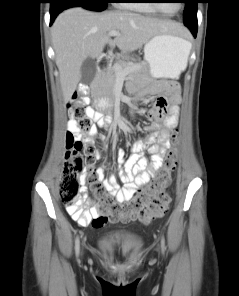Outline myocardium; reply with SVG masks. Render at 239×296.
<instances>
[{"label": "myocardium", "instance_id": "1", "mask_svg": "<svg viewBox=\"0 0 239 296\" xmlns=\"http://www.w3.org/2000/svg\"><path fill=\"white\" fill-rule=\"evenodd\" d=\"M150 1H151V6H152L154 9H156L159 13H161V14H163V15H171V14L177 12V11L179 10V8H180V6H179L175 12H173V13H167V12H165V11L160 7L159 3H157V0H150Z\"/></svg>", "mask_w": 239, "mask_h": 296}]
</instances>
